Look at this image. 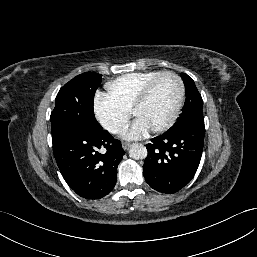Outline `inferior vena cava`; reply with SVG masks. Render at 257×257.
<instances>
[{
	"mask_svg": "<svg viewBox=\"0 0 257 257\" xmlns=\"http://www.w3.org/2000/svg\"><path fill=\"white\" fill-rule=\"evenodd\" d=\"M110 131H111L112 133H118V131H119V126L113 125V126L111 127Z\"/></svg>",
	"mask_w": 257,
	"mask_h": 257,
	"instance_id": "inferior-vena-cava-1",
	"label": "inferior vena cava"
}]
</instances>
